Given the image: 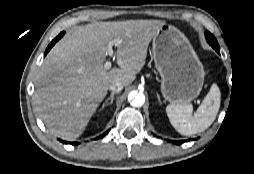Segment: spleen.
<instances>
[{
  "label": "spleen",
  "instance_id": "1",
  "mask_svg": "<svg viewBox=\"0 0 254 174\" xmlns=\"http://www.w3.org/2000/svg\"><path fill=\"white\" fill-rule=\"evenodd\" d=\"M220 102V90L213 84L193 115V106L189 103L170 104L166 113L170 123L180 134L193 135L206 130L214 122Z\"/></svg>",
  "mask_w": 254,
  "mask_h": 174
}]
</instances>
